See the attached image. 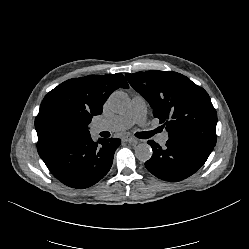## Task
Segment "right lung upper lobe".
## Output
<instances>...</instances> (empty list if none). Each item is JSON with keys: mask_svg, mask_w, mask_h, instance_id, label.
Masks as SVG:
<instances>
[{"mask_svg": "<svg viewBox=\"0 0 249 249\" xmlns=\"http://www.w3.org/2000/svg\"><path fill=\"white\" fill-rule=\"evenodd\" d=\"M120 87L129 88L124 76L116 73L73 78L51 90L35 119L39 155L62 142L90 135L92 117L102 113L107 98Z\"/></svg>", "mask_w": 249, "mask_h": 249, "instance_id": "obj_1", "label": "right lung upper lobe"}]
</instances>
